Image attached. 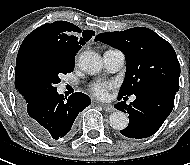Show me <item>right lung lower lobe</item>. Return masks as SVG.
Returning <instances> with one entry per match:
<instances>
[{"label":"right lung lower lobe","mask_w":190,"mask_h":165,"mask_svg":"<svg viewBox=\"0 0 190 165\" xmlns=\"http://www.w3.org/2000/svg\"><path fill=\"white\" fill-rule=\"evenodd\" d=\"M91 103L90 98L76 92L67 99L57 89L42 91L25 101L21 117L41 140L50 142L68 136L79 112Z\"/></svg>","instance_id":"obj_1"}]
</instances>
